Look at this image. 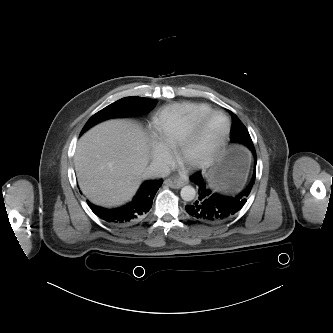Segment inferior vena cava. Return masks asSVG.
<instances>
[{"instance_id":"1","label":"inferior vena cava","mask_w":333,"mask_h":333,"mask_svg":"<svg viewBox=\"0 0 333 333\" xmlns=\"http://www.w3.org/2000/svg\"><path fill=\"white\" fill-rule=\"evenodd\" d=\"M170 174V168L166 164L152 163L146 169L145 177L164 178Z\"/></svg>"}]
</instances>
